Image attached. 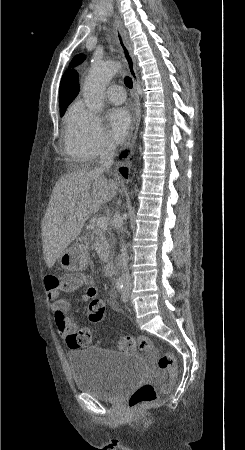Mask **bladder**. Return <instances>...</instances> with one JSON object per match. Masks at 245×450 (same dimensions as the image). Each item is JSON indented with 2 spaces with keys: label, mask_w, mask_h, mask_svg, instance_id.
I'll use <instances>...</instances> for the list:
<instances>
[{
  "label": "bladder",
  "mask_w": 245,
  "mask_h": 450,
  "mask_svg": "<svg viewBox=\"0 0 245 450\" xmlns=\"http://www.w3.org/2000/svg\"><path fill=\"white\" fill-rule=\"evenodd\" d=\"M74 387L99 400L116 401L144 380L147 368L139 355L86 347L67 353Z\"/></svg>",
  "instance_id": "obj_1"
}]
</instances>
